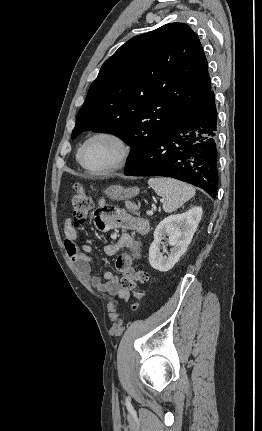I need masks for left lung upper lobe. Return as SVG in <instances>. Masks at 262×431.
I'll return each mask as SVG.
<instances>
[{"label": "left lung upper lobe", "mask_w": 262, "mask_h": 431, "mask_svg": "<svg viewBox=\"0 0 262 431\" xmlns=\"http://www.w3.org/2000/svg\"><path fill=\"white\" fill-rule=\"evenodd\" d=\"M211 91L197 35L183 23L133 37L102 65L79 110L82 131L112 133L131 146L128 168Z\"/></svg>", "instance_id": "obj_1"}]
</instances>
